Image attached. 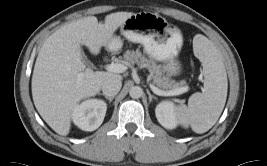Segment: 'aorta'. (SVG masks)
Listing matches in <instances>:
<instances>
[{
  "mask_svg": "<svg viewBox=\"0 0 267 166\" xmlns=\"http://www.w3.org/2000/svg\"><path fill=\"white\" fill-rule=\"evenodd\" d=\"M142 94H143V90H142V88L139 87V86H133V87H131L130 90H129V95H130V97L133 98V99H138V98H140V97L142 96Z\"/></svg>",
  "mask_w": 267,
  "mask_h": 166,
  "instance_id": "762f6f07",
  "label": "aorta"
}]
</instances>
